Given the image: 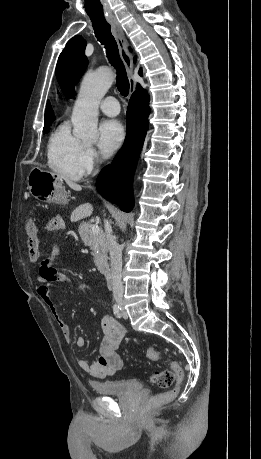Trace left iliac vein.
I'll return each instance as SVG.
<instances>
[{
	"mask_svg": "<svg viewBox=\"0 0 261 459\" xmlns=\"http://www.w3.org/2000/svg\"><path fill=\"white\" fill-rule=\"evenodd\" d=\"M122 315H123V318L124 319H127L128 318V312L126 311V309H122Z\"/></svg>",
	"mask_w": 261,
	"mask_h": 459,
	"instance_id": "obj_1",
	"label": "left iliac vein"
}]
</instances>
